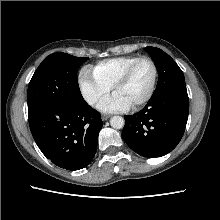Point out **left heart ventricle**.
<instances>
[{
    "label": "left heart ventricle",
    "instance_id": "1",
    "mask_svg": "<svg viewBox=\"0 0 220 220\" xmlns=\"http://www.w3.org/2000/svg\"><path fill=\"white\" fill-rule=\"evenodd\" d=\"M152 78V65L148 61H142L136 66L129 80L115 93L133 106L146 96L151 87Z\"/></svg>",
    "mask_w": 220,
    "mask_h": 220
}]
</instances>
